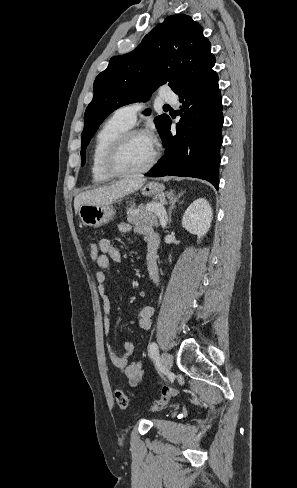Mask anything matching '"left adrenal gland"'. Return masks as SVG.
I'll return each instance as SVG.
<instances>
[{
	"instance_id": "left-adrenal-gland-1",
	"label": "left adrenal gland",
	"mask_w": 297,
	"mask_h": 488,
	"mask_svg": "<svg viewBox=\"0 0 297 488\" xmlns=\"http://www.w3.org/2000/svg\"><path fill=\"white\" fill-rule=\"evenodd\" d=\"M183 193L179 194L178 196H175L174 194V191L171 190L168 194V198H169V204H170V207L168 209V220L167 222L169 223L171 221V213H172V210L175 208V204L177 202V200L182 196Z\"/></svg>"
}]
</instances>
